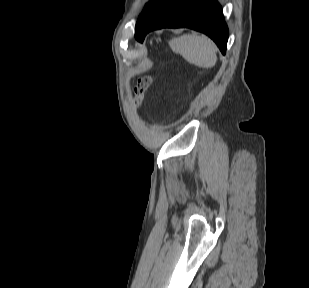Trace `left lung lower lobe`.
Returning <instances> with one entry per match:
<instances>
[{"label": "left lung lower lobe", "instance_id": "1", "mask_svg": "<svg viewBox=\"0 0 309 288\" xmlns=\"http://www.w3.org/2000/svg\"><path fill=\"white\" fill-rule=\"evenodd\" d=\"M182 27L205 33L225 54L228 28L216 0H159L135 33V38L143 42L152 30Z\"/></svg>", "mask_w": 309, "mask_h": 288}]
</instances>
